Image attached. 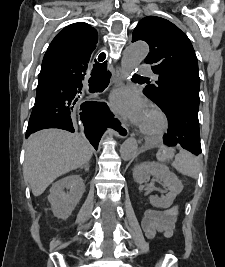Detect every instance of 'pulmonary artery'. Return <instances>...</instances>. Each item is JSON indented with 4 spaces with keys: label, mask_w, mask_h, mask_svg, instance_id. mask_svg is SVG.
Wrapping results in <instances>:
<instances>
[{
    "label": "pulmonary artery",
    "mask_w": 225,
    "mask_h": 267,
    "mask_svg": "<svg viewBox=\"0 0 225 267\" xmlns=\"http://www.w3.org/2000/svg\"><path fill=\"white\" fill-rule=\"evenodd\" d=\"M140 74L155 78V74L152 72L149 66L144 65L140 69Z\"/></svg>",
    "instance_id": "obj_1"
}]
</instances>
